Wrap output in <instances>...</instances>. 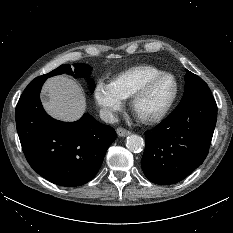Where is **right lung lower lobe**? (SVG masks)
Segmentation results:
<instances>
[{"label": "right lung lower lobe", "instance_id": "98d812e1", "mask_svg": "<svg viewBox=\"0 0 233 233\" xmlns=\"http://www.w3.org/2000/svg\"><path fill=\"white\" fill-rule=\"evenodd\" d=\"M46 79L39 76L31 81L16 106L21 146L42 177L61 186H80L96 175L116 132L88 114L69 123L47 115L39 98Z\"/></svg>", "mask_w": 233, "mask_h": 233}]
</instances>
